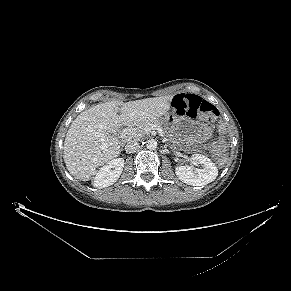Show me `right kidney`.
Returning <instances> with one entry per match:
<instances>
[{"label":"right kidney","instance_id":"ca27d5eb","mask_svg":"<svg viewBox=\"0 0 291 291\" xmlns=\"http://www.w3.org/2000/svg\"><path fill=\"white\" fill-rule=\"evenodd\" d=\"M124 168V159H112L103 167L100 168L96 174L94 185L98 188H104L115 183L120 177Z\"/></svg>","mask_w":291,"mask_h":291}]
</instances>
